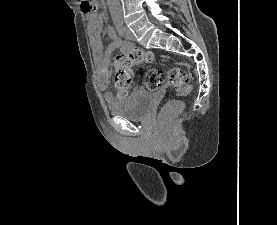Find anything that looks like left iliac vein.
<instances>
[{
    "mask_svg": "<svg viewBox=\"0 0 277 225\" xmlns=\"http://www.w3.org/2000/svg\"><path fill=\"white\" fill-rule=\"evenodd\" d=\"M124 33H125V36H126V38H127V39H129V40H133V41H135V40H136V38H135L134 34L131 32V30H130V29H128V28H126V27H124Z\"/></svg>",
    "mask_w": 277,
    "mask_h": 225,
    "instance_id": "1",
    "label": "left iliac vein"
}]
</instances>
